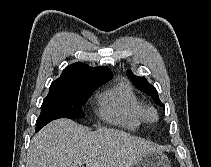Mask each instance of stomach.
I'll list each match as a JSON object with an SVG mask.
<instances>
[{
	"instance_id": "obj_1",
	"label": "stomach",
	"mask_w": 211,
	"mask_h": 167,
	"mask_svg": "<svg viewBox=\"0 0 211 167\" xmlns=\"http://www.w3.org/2000/svg\"><path fill=\"white\" fill-rule=\"evenodd\" d=\"M132 167H171V163L165 153L154 150L143 156Z\"/></svg>"
}]
</instances>
